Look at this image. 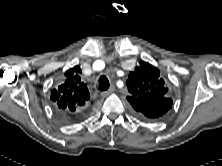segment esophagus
<instances>
[{"mask_svg": "<svg viewBox=\"0 0 222 166\" xmlns=\"http://www.w3.org/2000/svg\"><path fill=\"white\" fill-rule=\"evenodd\" d=\"M114 89L115 87L112 85L109 90L101 92V96L103 98L109 96L114 91Z\"/></svg>", "mask_w": 222, "mask_h": 166, "instance_id": "obj_1", "label": "esophagus"}]
</instances>
